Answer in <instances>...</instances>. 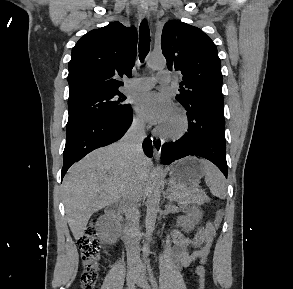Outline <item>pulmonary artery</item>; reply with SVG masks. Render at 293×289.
<instances>
[{
    "instance_id": "obj_1",
    "label": "pulmonary artery",
    "mask_w": 293,
    "mask_h": 289,
    "mask_svg": "<svg viewBox=\"0 0 293 289\" xmlns=\"http://www.w3.org/2000/svg\"><path fill=\"white\" fill-rule=\"evenodd\" d=\"M171 81V73L160 70L156 77L135 78L128 82L127 88L130 91H145L154 86L155 83H169Z\"/></svg>"
}]
</instances>
